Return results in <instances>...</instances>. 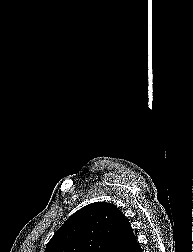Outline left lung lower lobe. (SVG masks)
<instances>
[{"label":"left lung lower lobe","instance_id":"left-lung-lower-lobe-1","mask_svg":"<svg viewBox=\"0 0 193 252\" xmlns=\"http://www.w3.org/2000/svg\"><path fill=\"white\" fill-rule=\"evenodd\" d=\"M123 252H142V249L135 239V236L128 242Z\"/></svg>","mask_w":193,"mask_h":252}]
</instances>
